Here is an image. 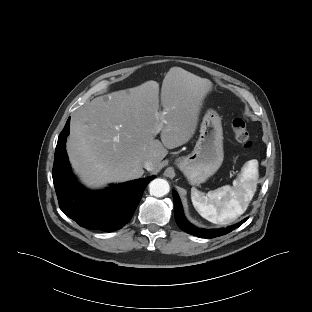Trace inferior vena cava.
<instances>
[{
	"mask_svg": "<svg viewBox=\"0 0 312 312\" xmlns=\"http://www.w3.org/2000/svg\"><path fill=\"white\" fill-rule=\"evenodd\" d=\"M155 162L152 160H145L143 161V167L147 170V171H153L155 169Z\"/></svg>",
	"mask_w": 312,
	"mask_h": 312,
	"instance_id": "602c4592",
	"label": "inferior vena cava"
}]
</instances>
